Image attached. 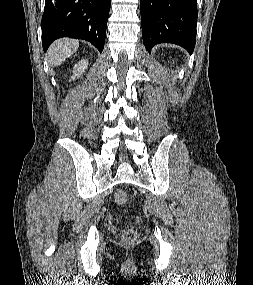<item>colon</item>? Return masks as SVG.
<instances>
[{"mask_svg":"<svg viewBox=\"0 0 253 285\" xmlns=\"http://www.w3.org/2000/svg\"><path fill=\"white\" fill-rule=\"evenodd\" d=\"M115 201L119 205H127L130 200L127 192L119 189L115 193ZM138 233L134 228L128 227L122 231L121 240L124 244H131L136 241Z\"/></svg>","mask_w":253,"mask_h":285,"instance_id":"obj_1","label":"colon"}]
</instances>
